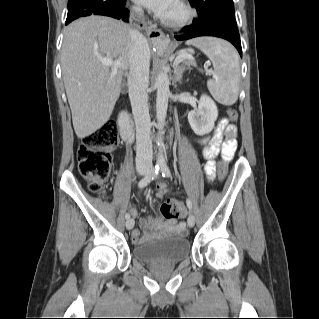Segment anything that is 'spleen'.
I'll return each instance as SVG.
<instances>
[{"instance_id":"obj_1","label":"spleen","mask_w":319,"mask_h":319,"mask_svg":"<svg viewBox=\"0 0 319 319\" xmlns=\"http://www.w3.org/2000/svg\"><path fill=\"white\" fill-rule=\"evenodd\" d=\"M200 49L212 61L214 78L207 86L213 98L223 105H233L239 94L240 66L236 50L228 42L214 37H200L186 42Z\"/></svg>"}]
</instances>
